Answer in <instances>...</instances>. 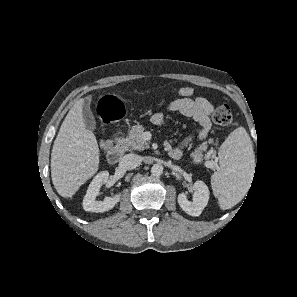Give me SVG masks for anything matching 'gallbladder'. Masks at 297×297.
Here are the masks:
<instances>
[{
    "mask_svg": "<svg viewBox=\"0 0 297 297\" xmlns=\"http://www.w3.org/2000/svg\"><path fill=\"white\" fill-rule=\"evenodd\" d=\"M91 98H87L83 104V119L86 127L89 130H94L96 128V119L94 114L90 109Z\"/></svg>",
    "mask_w": 297,
    "mask_h": 297,
    "instance_id": "bac80fb5",
    "label": "gallbladder"
}]
</instances>
